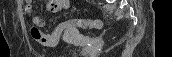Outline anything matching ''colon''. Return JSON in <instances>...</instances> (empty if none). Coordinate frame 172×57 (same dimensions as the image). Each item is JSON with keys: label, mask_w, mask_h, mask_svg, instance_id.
<instances>
[{"label": "colon", "mask_w": 172, "mask_h": 57, "mask_svg": "<svg viewBox=\"0 0 172 57\" xmlns=\"http://www.w3.org/2000/svg\"><path fill=\"white\" fill-rule=\"evenodd\" d=\"M25 12L28 15L31 14V11L29 8H26ZM70 25H75L81 29H99L101 27V22L99 20L75 19L69 22L59 24L55 28V32L62 34V32H64Z\"/></svg>", "instance_id": "obj_1"}]
</instances>
